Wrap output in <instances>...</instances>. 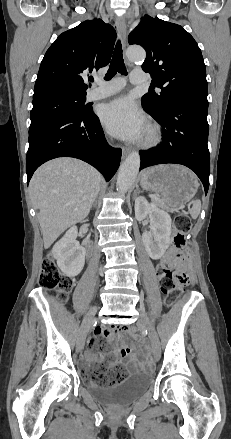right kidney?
<instances>
[{"label":"right kidney","mask_w":231,"mask_h":439,"mask_svg":"<svg viewBox=\"0 0 231 439\" xmlns=\"http://www.w3.org/2000/svg\"><path fill=\"white\" fill-rule=\"evenodd\" d=\"M78 230L71 227L52 249L58 267L68 277L77 276L85 264V249L76 241Z\"/></svg>","instance_id":"obj_1"}]
</instances>
